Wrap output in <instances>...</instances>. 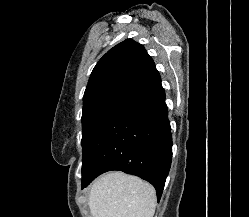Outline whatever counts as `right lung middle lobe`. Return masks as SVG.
Returning <instances> with one entry per match:
<instances>
[{"mask_svg":"<svg viewBox=\"0 0 249 217\" xmlns=\"http://www.w3.org/2000/svg\"><path fill=\"white\" fill-rule=\"evenodd\" d=\"M123 92L112 91L100 94L83 103L82 113V149L87 150L91 136L113 103L122 96Z\"/></svg>","mask_w":249,"mask_h":217,"instance_id":"dd1d6c3e","label":"right lung middle lobe"}]
</instances>
